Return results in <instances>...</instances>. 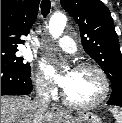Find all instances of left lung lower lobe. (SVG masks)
Segmentation results:
<instances>
[{
  "label": "left lung lower lobe",
  "instance_id": "left-lung-lower-lobe-1",
  "mask_svg": "<svg viewBox=\"0 0 122 123\" xmlns=\"http://www.w3.org/2000/svg\"><path fill=\"white\" fill-rule=\"evenodd\" d=\"M107 104L122 107V89L112 92V95Z\"/></svg>",
  "mask_w": 122,
  "mask_h": 123
}]
</instances>
